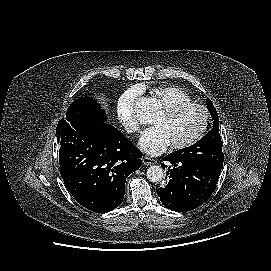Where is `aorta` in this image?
<instances>
[{"mask_svg":"<svg viewBox=\"0 0 271 271\" xmlns=\"http://www.w3.org/2000/svg\"><path fill=\"white\" fill-rule=\"evenodd\" d=\"M145 107V113H151L155 111V102L150 98H145L143 101ZM146 176L151 182H159L163 178V169L160 166H150L147 169Z\"/></svg>","mask_w":271,"mask_h":271,"instance_id":"obj_1","label":"aorta"}]
</instances>
